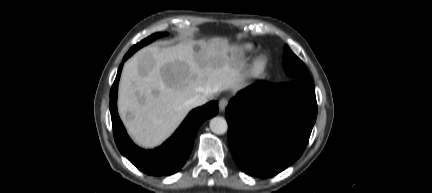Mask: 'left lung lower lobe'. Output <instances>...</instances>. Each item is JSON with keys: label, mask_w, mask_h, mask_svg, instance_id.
I'll use <instances>...</instances> for the list:
<instances>
[{"label": "left lung lower lobe", "mask_w": 432, "mask_h": 193, "mask_svg": "<svg viewBox=\"0 0 432 193\" xmlns=\"http://www.w3.org/2000/svg\"><path fill=\"white\" fill-rule=\"evenodd\" d=\"M228 143L238 167L249 175L278 174L303 153L317 116L311 80L257 82L237 93L226 108ZM276 123L281 132L268 131Z\"/></svg>", "instance_id": "1"}]
</instances>
